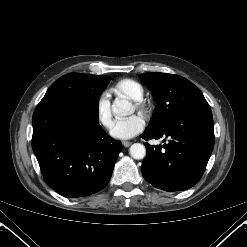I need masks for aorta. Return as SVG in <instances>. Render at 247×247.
<instances>
[{
    "mask_svg": "<svg viewBox=\"0 0 247 247\" xmlns=\"http://www.w3.org/2000/svg\"><path fill=\"white\" fill-rule=\"evenodd\" d=\"M112 110L117 116H127L132 114V104L122 98L115 99ZM130 155L132 158L140 160L143 159L146 156V148L143 144L140 143H134L130 147Z\"/></svg>",
    "mask_w": 247,
    "mask_h": 247,
    "instance_id": "1",
    "label": "aorta"
}]
</instances>
